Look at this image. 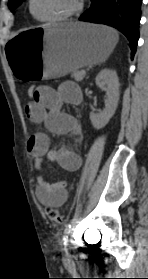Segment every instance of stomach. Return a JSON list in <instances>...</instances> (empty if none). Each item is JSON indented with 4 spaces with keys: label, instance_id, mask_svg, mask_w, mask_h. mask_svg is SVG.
Returning <instances> with one entry per match:
<instances>
[{
    "label": "stomach",
    "instance_id": "obj_1",
    "mask_svg": "<svg viewBox=\"0 0 148 279\" xmlns=\"http://www.w3.org/2000/svg\"><path fill=\"white\" fill-rule=\"evenodd\" d=\"M118 41L115 30L92 24L43 25L17 33L6 59L16 82H51L79 68L104 62Z\"/></svg>",
    "mask_w": 148,
    "mask_h": 279
}]
</instances>
